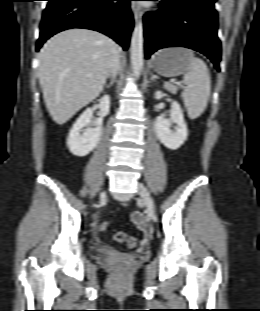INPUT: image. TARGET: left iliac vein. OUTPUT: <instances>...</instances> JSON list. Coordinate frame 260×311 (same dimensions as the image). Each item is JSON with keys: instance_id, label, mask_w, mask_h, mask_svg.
Masks as SVG:
<instances>
[{"instance_id": "left-iliac-vein-1", "label": "left iliac vein", "mask_w": 260, "mask_h": 311, "mask_svg": "<svg viewBox=\"0 0 260 311\" xmlns=\"http://www.w3.org/2000/svg\"><path fill=\"white\" fill-rule=\"evenodd\" d=\"M137 189L138 194L146 208V212L148 214H154L155 212L154 203L148 189L142 183H138Z\"/></svg>"}]
</instances>
